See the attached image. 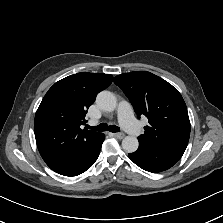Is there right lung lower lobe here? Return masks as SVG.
I'll list each match as a JSON object with an SVG mask.
<instances>
[{"mask_svg": "<svg viewBox=\"0 0 223 223\" xmlns=\"http://www.w3.org/2000/svg\"><path fill=\"white\" fill-rule=\"evenodd\" d=\"M104 139H105V135L101 134L99 142H98L95 150L93 151L91 156L87 159V161L79 169H77L75 172H73L72 174L67 175V176H76V175H79V174L85 172L87 169H89L94 164L96 159L98 158V155L100 153V149H101Z\"/></svg>", "mask_w": 223, "mask_h": 223, "instance_id": "right-lung-lower-lobe-1", "label": "right lung lower lobe"}]
</instances>
